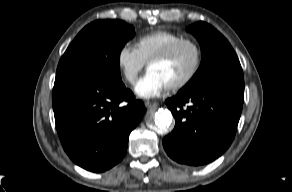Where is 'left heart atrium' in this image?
<instances>
[{
    "mask_svg": "<svg viewBox=\"0 0 292 192\" xmlns=\"http://www.w3.org/2000/svg\"><path fill=\"white\" fill-rule=\"evenodd\" d=\"M168 85L156 73L149 71L138 81L135 92L142 98H154L161 95Z\"/></svg>",
    "mask_w": 292,
    "mask_h": 192,
    "instance_id": "39dd6f15",
    "label": "left heart atrium"
}]
</instances>
